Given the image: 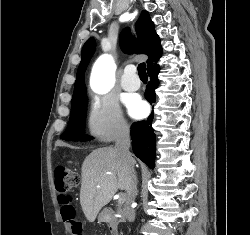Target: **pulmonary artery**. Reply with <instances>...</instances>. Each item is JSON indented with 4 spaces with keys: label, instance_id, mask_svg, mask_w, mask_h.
<instances>
[{
    "label": "pulmonary artery",
    "instance_id": "1",
    "mask_svg": "<svg viewBox=\"0 0 250 235\" xmlns=\"http://www.w3.org/2000/svg\"><path fill=\"white\" fill-rule=\"evenodd\" d=\"M140 79L133 72V66H127L121 80V86L128 92L136 91L140 87Z\"/></svg>",
    "mask_w": 250,
    "mask_h": 235
}]
</instances>
